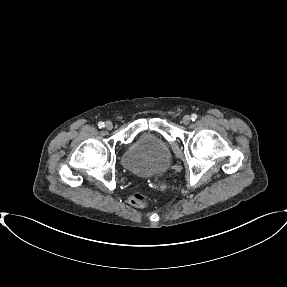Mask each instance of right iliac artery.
Returning <instances> with one entry per match:
<instances>
[{
	"label": "right iliac artery",
	"instance_id": "1",
	"mask_svg": "<svg viewBox=\"0 0 287 287\" xmlns=\"http://www.w3.org/2000/svg\"><path fill=\"white\" fill-rule=\"evenodd\" d=\"M104 126H105V125H104V122H99V123H98V127H99V128H103Z\"/></svg>",
	"mask_w": 287,
	"mask_h": 287
}]
</instances>
